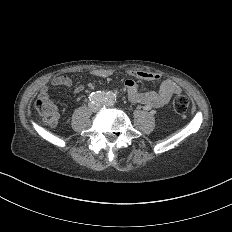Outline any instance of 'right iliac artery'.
Listing matches in <instances>:
<instances>
[{
  "instance_id": "obj_1",
  "label": "right iliac artery",
  "mask_w": 232,
  "mask_h": 232,
  "mask_svg": "<svg viewBox=\"0 0 232 232\" xmlns=\"http://www.w3.org/2000/svg\"><path fill=\"white\" fill-rule=\"evenodd\" d=\"M90 103L94 104V105H100L103 104L105 102V94L102 91H95L89 94L88 97Z\"/></svg>"
}]
</instances>
